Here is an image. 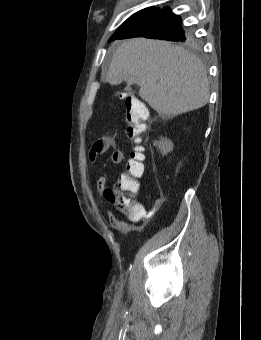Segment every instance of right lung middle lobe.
<instances>
[{
	"mask_svg": "<svg viewBox=\"0 0 261 340\" xmlns=\"http://www.w3.org/2000/svg\"><path fill=\"white\" fill-rule=\"evenodd\" d=\"M155 8H156L155 6L149 7V8L143 9L133 14L120 26V28L115 32V34L110 38L109 41L117 39L126 30L132 27L136 22H138L141 18H143L146 14H148ZM169 41H177V42H183L188 45H195V38L193 36V33L191 30H188V29L178 34H175Z\"/></svg>",
	"mask_w": 261,
	"mask_h": 340,
	"instance_id": "obj_1",
	"label": "right lung middle lobe"
}]
</instances>
